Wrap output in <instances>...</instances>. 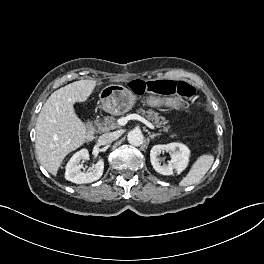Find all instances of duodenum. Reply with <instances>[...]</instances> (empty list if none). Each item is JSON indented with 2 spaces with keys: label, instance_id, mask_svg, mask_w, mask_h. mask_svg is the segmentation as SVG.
<instances>
[{
  "label": "duodenum",
  "instance_id": "410a0bca",
  "mask_svg": "<svg viewBox=\"0 0 264 264\" xmlns=\"http://www.w3.org/2000/svg\"><path fill=\"white\" fill-rule=\"evenodd\" d=\"M94 137V127L93 126H89L88 130H87V138L89 140L93 139Z\"/></svg>",
  "mask_w": 264,
  "mask_h": 264
}]
</instances>
